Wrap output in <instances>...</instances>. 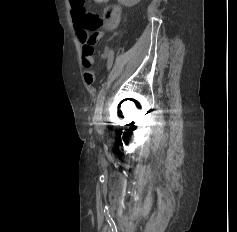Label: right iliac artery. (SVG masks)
Returning <instances> with one entry per match:
<instances>
[{
  "label": "right iliac artery",
  "mask_w": 237,
  "mask_h": 232,
  "mask_svg": "<svg viewBox=\"0 0 237 232\" xmlns=\"http://www.w3.org/2000/svg\"><path fill=\"white\" fill-rule=\"evenodd\" d=\"M113 60H114V52H113V50H110L108 52V60H107V69L108 70H110V68L112 67ZM103 100H104V90L101 89V91L98 94L95 115H94V118L96 120H100L102 117L101 114H102Z\"/></svg>",
  "instance_id": "right-iliac-artery-1"
}]
</instances>
